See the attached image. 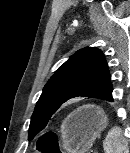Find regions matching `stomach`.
<instances>
[{"instance_id":"stomach-1","label":"stomach","mask_w":130,"mask_h":153,"mask_svg":"<svg viewBox=\"0 0 130 153\" xmlns=\"http://www.w3.org/2000/svg\"><path fill=\"white\" fill-rule=\"evenodd\" d=\"M107 125L108 117L102 109L81 107L71 113L61 126L63 147L69 153H86Z\"/></svg>"}]
</instances>
